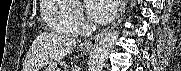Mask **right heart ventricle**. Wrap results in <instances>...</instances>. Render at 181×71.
Returning a JSON list of instances; mask_svg holds the SVG:
<instances>
[{"mask_svg": "<svg viewBox=\"0 0 181 71\" xmlns=\"http://www.w3.org/2000/svg\"><path fill=\"white\" fill-rule=\"evenodd\" d=\"M74 10L75 5L71 1L45 0L41 6V18L50 30L74 36L80 32L70 22Z\"/></svg>", "mask_w": 181, "mask_h": 71, "instance_id": "right-heart-ventricle-1", "label": "right heart ventricle"}]
</instances>
